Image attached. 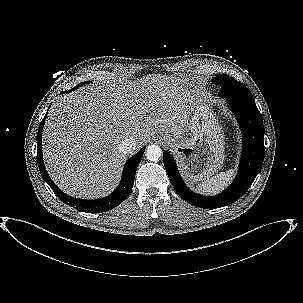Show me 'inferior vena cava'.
I'll return each instance as SVG.
<instances>
[{"label":"inferior vena cava","mask_w":303,"mask_h":303,"mask_svg":"<svg viewBox=\"0 0 303 303\" xmlns=\"http://www.w3.org/2000/svg\"><path fill=\"white\" fill-rule=\"evenodd\" d=\"M136 148L135 140L133 137H127L119 145V151L123 154H129Z\"/></svg>","instance_id":"602c4592"}]
</instances>
